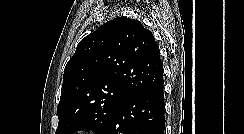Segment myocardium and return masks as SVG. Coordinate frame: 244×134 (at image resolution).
<instances>
[{
	"label": "myocardium",
	"mask_w": 244,
	"mask_h": 134,
	"mask_svg": "<svg viewBox=\"0 0 244 134\" xmlns=\"http://www.w3.org/2000/svg\"><path fill=\"white\" fill-rule=\"evenodd\" d=\"M78 134H101V133L97 132V131H85V132L78 133Z\"/></svg>",
	"instance_id": "myocardium-1"
}]
</instances>
